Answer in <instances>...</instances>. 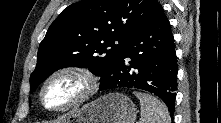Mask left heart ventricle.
<instances>
[{"label":"left heart ventricle","mask_w":221,"mask_h":123,"mask_svg":"<svg viewBox=\"0 0 221 123\" xmlns=\"http://www.w3.org/2000/svg\"><path fill=\"white\" fill-rule=\"evenodd\" d=\"M81 80L74 75L54 79L44 92V101L50 107H60L75 99L82 90Z\"/></svg>","instance_id":"left-heart-ventricle-1"}]
</instances>
